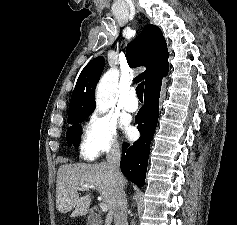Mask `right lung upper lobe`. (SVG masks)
Instances as JSON below:
<instances>
[{"mask_svg":"<svg viewBox=\"0 0 237 225\" xmlns=\"http://www.w3.org/2000/svg\"><path fill=\"white\" fill-rule=\"evenodd\" d=\"M126 56L131 67H146L136 78V81L145 80V90L162 82V77L168 73L167 44L161 30L155 25H146L139 37L127 45ZM104 65V57L100 56L84 67L72 93L69 112H93L95 87Z\"/></svg>","mask_w":237,"mask_h":225,"instance_id":"obj_1","label":"right lung upper lobe"}]
</instances>
